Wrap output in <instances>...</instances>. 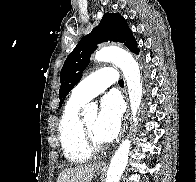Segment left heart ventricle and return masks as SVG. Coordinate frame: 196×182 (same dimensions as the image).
Listing matches in <instances>:
<instances>
[{
  "instance_id": "b2bd125f",
  "label": "left heart ventricle",
  "mask_w": 196,
  "mask_h": 182,
  "mask_svg": "<svg viewBox=\"0 0 196 182\" xmlns=\"http://www.w3.org/2000/svg\"><path fill=\"white\" fill-rule=\"evenodd\" d=\"M97 119H98V116L96 114H93V115H90V116L86 117L84 120H85V124H86L87 128L89 129V131L91 132L92 136L97 141H101L98 138V136L96 135V132H95V127H96Z\"/></svg>"
}]
</instances>
